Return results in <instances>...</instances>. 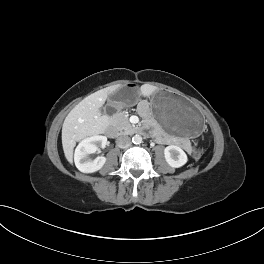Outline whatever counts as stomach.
Wrapping results in <instances>:
<instances>
[{"label":"stomach","mask_w":264,"mask_h":264,"mask_svg":"<svg viewBox=\"0 0 264 264\" xmlns=\"http://www.w3.org/2000/svg\"><path fill=\"white\" fill-rule=\"evenodd\" d=\"M131 91L132 88L129 86L118 89L109 94L108 101L116 108L130 107L136 103ZM147 106L152 117L173 137L193 139L203 131L204 117L183 96L167 90H158L152 94Z\"/></svg>","instance_id":"0dacf381"}]
</instances>
